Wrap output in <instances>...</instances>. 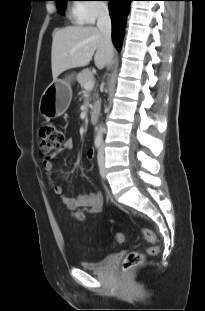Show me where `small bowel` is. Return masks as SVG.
Returning a JSON list of instances; mask_svg holds the SVG:
<instances>
[{
  "mask_svg": "<svg viewBox=\"0 0 205 311\" xmlns=\"http://www.w3.org/2000/svg\"><path fill=\"white\" fill-rule=\"evenodd\" d=\"M63 149L69 150L73 148V140L71 138L65 140L62 146ZM87 159L93 160L96 157V152L94 149H89L87 151ZM43 168L49 177V185L53 192L59 196L60 201L71 210V216L77 221H83L87 214L97 215L103 206L102 196L99 193H91L88 195H83L79 197H70L67 195L63 187L53 181L50 177L53 173L54 166L51 159H45L43 161Z\"/></svg>",
  "mask_w": 205,
  "mask_h": 311,
  "instance_id": "small-bowel-1",
  "label": "small bowel"
}]
</instances>
